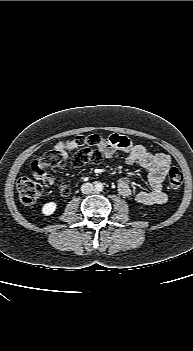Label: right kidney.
<instances>
[{
    "mask_svg": "<svg viewBox=\"0 0 193 351\" xmlns=\"http://www.w3.org/2000/svg\"><path fill=\"white\" fill-rule=\"evenodd\" d=\"M57 204L55 202H48L42 207V213L46 216L51 215L55 212Z\"/></svg>",
    "mask_w": 193,
    "mask_h": 351,
    "instance_id": "ca27d5eb",
    "label": "right kidney"
}]
</instances>
